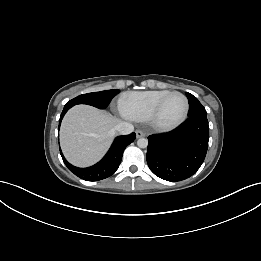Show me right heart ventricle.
<instances>
[{
    "instance_id": "right-heart-ventricle-1",
    "label": "right heart ventricle",
    "mask_w": 261,
    "mask_h": 261,
    "mask_svg": "<svg viewBox=\"0 0 261 261\" xmlns=\"http://www.w3.org/2000/svg\"><path fill=\"white\" fill-rule=\"evenodd\" d=\"M168 92L162 89L125 93L119 100V110L128 119L147 120L155 103Z\"/></svg>"
}]
</instances>
